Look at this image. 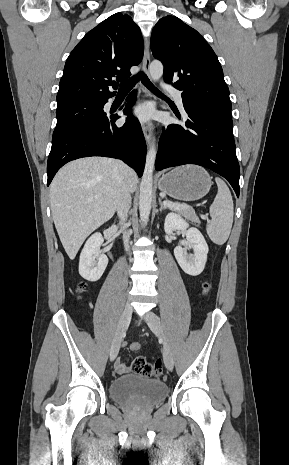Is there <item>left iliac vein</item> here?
<instances>
[{
    "instance_id": "4c4485c4",
    "label": "left iliac vein",
    "mask_w": 289,
    "mask_h": 465,
    "mask_svg": "<svg viewBox=\"0 0 289 465\" xmlns=\"http://www.w3.org/2000/svg\"><path fill=\"white\" fill-rule=\"evenodd\" d=\"M145 321L147 325L149 326V328L151 329V331L163 339L164 363H165L166 368L171 371L174 367L173 354L164 337V333H163V329H162V325H161L159 317L154 312L149 311L145 315Z\"/></svg>"
}]
</instances>
